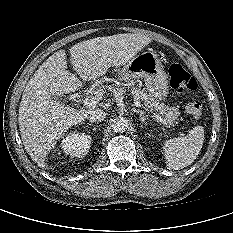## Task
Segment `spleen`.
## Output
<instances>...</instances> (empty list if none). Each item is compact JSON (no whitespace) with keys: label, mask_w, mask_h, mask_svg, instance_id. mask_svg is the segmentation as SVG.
Instances as JSON below:
<instances>
[{"label":"spleen","mask_w":233,"mask_h":233,"mask_svg":"<svg viewBox=\"0 0 233 233\" xmlns=\"http://www.w3.org/2000/svg\"><path fill=\"white\" fill-rule=\"evenodd\" d=\"M204 142V128L196 126L186 136L166 140L163 152L168 169L179 170L189 166L198 157Z\"/></svg>","instance_id":"1"}]
</instances>
